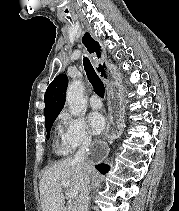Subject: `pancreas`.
I'll list each match as a JSON object with an SVG mask.
<instances>
[{
    "mask_svg": "<svg viewBox=\"0 0 179 211\" xmlns=\"http://www.w3.org/2000/svg\"><path fill=\"white\" fill-rule=\"evenodd\" d=\"M67 211H78V207L76 204L71 205Z\"/></svg>",
    "mask_w": 179,
    "mask_h": 211,
    "instance_id": "pancreas-1",
    "label": "pancreas"
}]
</instances>
